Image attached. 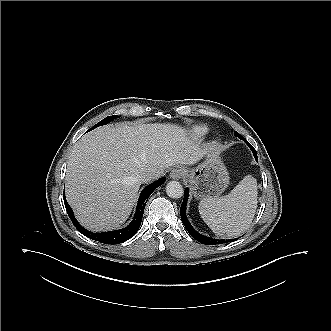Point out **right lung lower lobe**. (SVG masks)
<instances>
[{
	"mask_svg": "<svg viewBox=\"0 0 331 331\" xmlns=\"http://www.w3.org/2000/svg\"><path fill=\"white\" fill-rule=\"evenodd\" d=\"M165 180H166L165 177H162L143 189L138 199L136 213L133 218V221L126 228H123L121 230L109 231L103 233H93L91 231H88L84 229L75 219L72 209L67 203L65 196H64V203L70 219L72 220L74 226L80 233H82L86 237H89L93 240L99 241L104 244H119L130 239L136 234V232L140 227L144 213V208L149 196L154 191V189L162 185L165 182Z\"/></svg>",
	"mask_w": 331,
	"mask_h": 331,
	"instance_id": "98d812e1",
	"label": "right lung lower lobe"
}]
</instances>
